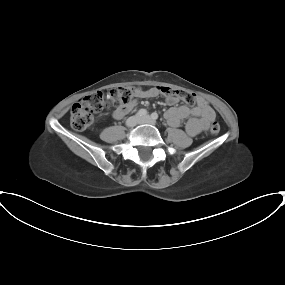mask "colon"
<instances>
[{"label": "colon", "mask_w": 285, "mask_h": 285, "mask_svg": "<svg viewBox=\"0 0 285 285\" xmlns=\"http://www.w3.org/2000/svg\"><path fill=\"white\" fill-rule=\"evenodd\" d=\"M159 91L167 96H177L188 105H196L197 96L186 90L161 86ZM134 90L129 86L115 87L106 91H95L77 103H75L70 111V124L76 131H85L93 123L96 114L101 113L110 106H120L128 103L133 97ZM220 125L217 121H213L210 126L212 134L220 132Z\"/></svg>", "instance_id": "5ec220e1"}]
</instances>
